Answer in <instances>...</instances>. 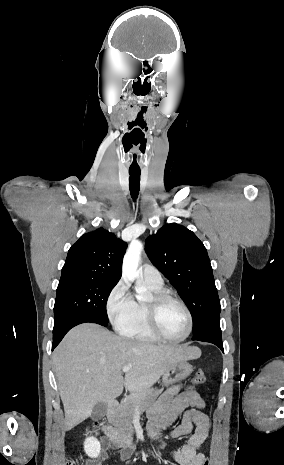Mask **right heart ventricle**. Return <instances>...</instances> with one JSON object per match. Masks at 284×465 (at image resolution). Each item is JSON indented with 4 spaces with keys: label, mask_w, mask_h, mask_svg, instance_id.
Listing matches in <instances>:
<instances>
[{
    "label": "right heart ventricle",
    "mask_w": 284,
    "mask_h": 465,
    "mask_svg": "<svg viewBox=\"0 0 284 465\" xmlns=\"http://www.w3.org/2000/svg\"><path fill=\"white\" fill-rule=\"evenodd\" d=\"M147 285L154 293L162 291L163 288V284ZM147 321L145 303H135L130 316L118 324V331L122 337L134 342L146 344L158 343L159 341L148 331L146 326Z\"/></svg>",
    "instance_id": "1"
}]
</instances>
